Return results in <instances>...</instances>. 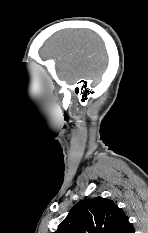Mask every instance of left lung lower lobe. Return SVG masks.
<instances>
[{
  "mask_svg": "<svg viewBox=\"0 0 148 233\" xmlns=\"http://www.w3.org/2000/svg\"><path fill=\"white\" fill-rule=\"evenodd\" d=\"M127 233H134L133 227H131V228L127 231Z\"/></svg>",
  "mask_w": 148,
  "mask_h": 233,
  "instance_id": "obj_1",
  "label": "left lung lower lobe"
}]
</instances>
